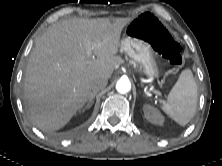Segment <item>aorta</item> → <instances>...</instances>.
Instances as JSON below:
<instances>
[{
    "label": "aorta",
    "mask_w": 222,
    "mask_h": 166,
    "mask_svg": "<svg viewBox=\"0 0 222 166\" xmlns=\"http://www.w3.org/2000/svg\"><path fill=\"white\" fill-rule=\"evenodd\" d=\"M116 90L121 93L125 94L131 90V83L127 79H120L116 83Z\"/></svg>",
    "instance_id": "1"
}]
</instances>
